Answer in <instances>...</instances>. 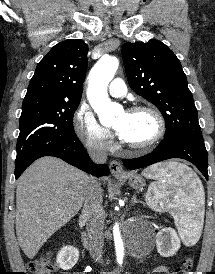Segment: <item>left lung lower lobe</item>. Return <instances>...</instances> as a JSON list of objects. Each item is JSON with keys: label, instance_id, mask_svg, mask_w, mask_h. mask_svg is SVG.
<instances>
[{"label": "left lung lower lobe", "instance_id": "left-lung-lower-lobe-1", "mask_svg": "<svg viewBox=\"0 0 215 274\" xmlns=\"http://www.w3.org/2000/svg\"><path fill=\"white\" fill-rule=\"evenodd\" d=\"M171 158L188 160L208 180L207 151L203 139L199 138L189 136L166 137L151 153L139 158L124 159L123 163L126 168L134 170Z\"/></svg>", "mask_w": 215, "mask_h": 274}]
</instances>
